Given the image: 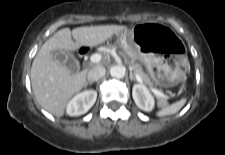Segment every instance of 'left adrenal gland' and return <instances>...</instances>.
Returning <instances> with one entry per match:
<instances>
[{"mask_svg":"<svg viewBox=\"0 0 225 155\" xmlns=\"http://www.w3.org/2000/svg\"><path fill=\"white\" fill-rule=\"evenodd\" d=\"M130 80L131 81H137L136 78L134 77L132 71H130Z\"/></svg>","mask_w":225,"mask_h":155,"instance_id":"left-adrenal-gland-1","label":"left adrenal gland"}]
</instances>
